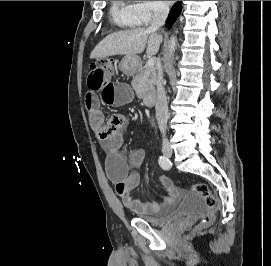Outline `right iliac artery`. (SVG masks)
<instances>
[{"label": "right iliac artery", "instance_id": "right-iliac-artery-1", "mask_svg": "<svg viewBox=\"0 0 271 266\" xmlns=\"http://www.w3.org/2000/svg\"><path fill=\"white\" fill-rule=\"evenodd\" d=\"M159 165L161 166L162 169L164 170H169L171 168V161L165 157V156H160L159 157Z\"/></svg>", "mask_w": 271, "mask_h": 266}]
</instances>
